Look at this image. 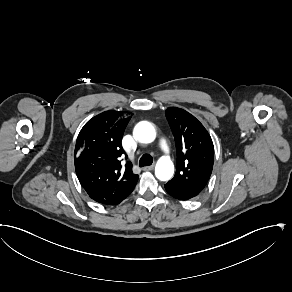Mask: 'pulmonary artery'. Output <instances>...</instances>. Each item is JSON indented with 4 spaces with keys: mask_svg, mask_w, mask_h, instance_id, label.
I'll return each instance as SVG.
<instances>
[{
    "mask_svg": "<svg viewBox=\"0 0 292 292\" xmlns=\"http://www.w3.org/2000/svg\"><path fill=\"white\" fill-rule=\"evenodd\" d=\"M170 143L171 139L163 130H160L154 140V147L157 150L162 151L167 157H170L173 154Z\"/></svg>",
    "mask_w": 292,
    "mask_h": 292,
    "instance_id": "1",
    "label": "pulmonary artery"
}]
</instances>
